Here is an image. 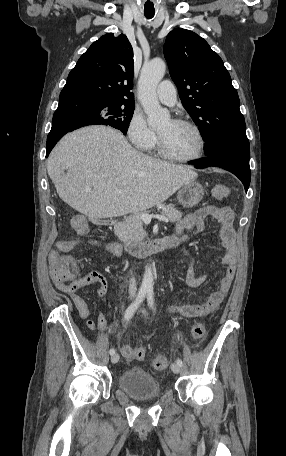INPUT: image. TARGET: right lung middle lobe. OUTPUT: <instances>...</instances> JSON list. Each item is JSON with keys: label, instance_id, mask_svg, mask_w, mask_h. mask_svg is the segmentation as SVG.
Listing matches in <instances>:
<instances>
[{"label": "right lung middle lobe", "instance_id": "dd1d6c3e", "mask_svg": "<svg viewBox=\"0 0 286 456\" xmlns=\"http://www.w3.org/2000/svg\"><path fill=\"white\" fill-rule=\"evenodd\" d=\"M78 110L80 114L76 128L102 124L110 125L126 134L134 113V104L112 102L101 97L88 95V99Z\"/></svg>", "mask_w": 286, "mask_h": 456}]
</instances>
